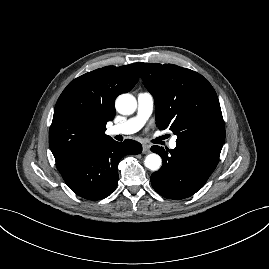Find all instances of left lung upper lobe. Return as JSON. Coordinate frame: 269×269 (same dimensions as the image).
Wrapping results in <instances>:
<instances>
[{"label":"left lung upper lobe","mask_w":269,"mask_h":269,"mask_svg":"<svg viewBox=\"0 0 269 269\" xmlns=\"http://www.w3.org/2000/svg\"><path fill=\"white\" fill-rule=\"evenodd\" d=\"M141 78L155 100L156 124L176 141L225 142L218 97L199 73L172 64L146 63Z\"/></svg>","instance_id":"5c2ea615"}]
</instances>
